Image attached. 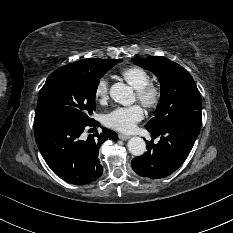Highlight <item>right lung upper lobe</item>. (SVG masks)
Masks as SVG:
<instances>
[{
    "label": "right lung upper lobe",
    "mask_w": 233,
    "mask_h": 233,
    "mask_svg": "<svg viewBox=\"0 0 233 233\" xmlns=\"http://www.w3.org/2000/svg\"><path fill=\"white\" fill-rule=\"evenodd\" d=\"M100 59H88V60H82L73 64H69L71 66L75 67H81V68H90L93 65H95Z\"/></svg>",
    "instance_id": "cb5924a9"
}]
</instances>
